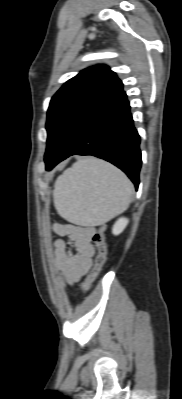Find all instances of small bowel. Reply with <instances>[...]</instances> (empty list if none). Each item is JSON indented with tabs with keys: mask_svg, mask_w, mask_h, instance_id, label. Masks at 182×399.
I'll list each match as a JSON object with an SVG mask.
<instances>
[{
	"mask_svg": "<svg viewBox=\"0 0 182 399\" xmlns=\"http://www.w3.org/2000/svg\"><path fill=\"white\" fill-rule=\"evenodd\" d=\"M54 232L66 239L53 241V265L62 282L73 286L81 280L92 265L95 248L92 237L94 226H80L71 223H57Z\"/></svg>",
	"mask_w": 182,
	"mask_h": 399,
	"instance_id": "c3829d8e",
	"label": "small bowel"
}]
</instances>
